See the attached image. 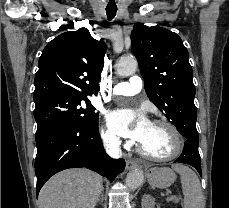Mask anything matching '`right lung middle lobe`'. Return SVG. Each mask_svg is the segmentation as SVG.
Segmentation results:
<instances>
[{"mask_svg": "<svg viewBox=\"0 0 229 208\" xmlns=\"http://www.w3.org/2000/svg\"><path fill=\"white\" fill-rule=\"evenodd\" d=\"M84 101L83 106H81ZM36 137L52 127L72 122L87 128L98 126V114L87 97L57 94L35 101Z\"/></svg>", "mask_w": 229, "mask_h": 208, "instance_id": "right-lung-middle-lobe-1", "label": "right lung middle lobe"}]
</instances>
